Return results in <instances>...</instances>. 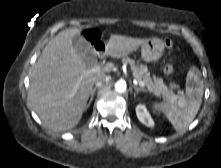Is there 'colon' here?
I'll return each mask as SVG.
<instances>
[{
    "label": "colon",
    "instance_id": "obj_1",
    "mask_svg": "<svg viewBox=\"0 0 221 168\" xmlns=\"http://www.w3.org/2000/svg\"><path fill=\"white\" fill-rule=\"evenodd\" d=\"M165 47L167 50H171L172 47H173V43L171 40H166L165 41ZM165 72L166 73H170L172 72V66L167 63L166 66H165ZM180 87H181V84L179 81H172L170 84H169V90L172 92V93H178V91L180 90Z\"/></svg>",
    "mask_w": 221,
    "mask_h": 168
}]
</instances>
